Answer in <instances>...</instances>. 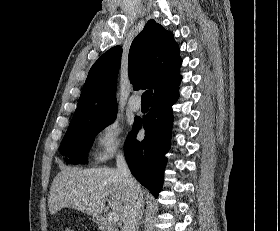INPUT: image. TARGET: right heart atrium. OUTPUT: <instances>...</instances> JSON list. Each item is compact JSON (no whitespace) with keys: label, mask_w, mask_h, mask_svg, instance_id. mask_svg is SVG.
Wrapping results in <instances>:
<instances>
[{"label":"right heart atrium","mask_w":280,"mask_h":231,"mask_svg":"<svg viewBox=\"0 0 280 231\" xmlns=\"http://www.w3.org/2000/svg\"><path fill=\"white\" fill-rule=\"evenodd\" d=\"M123 127L118 118L107 119L101 126L96 137V160L104 162L113 157L116 153L125 149Z\"/></svg>","instance_id":"1"}]
</instances>
